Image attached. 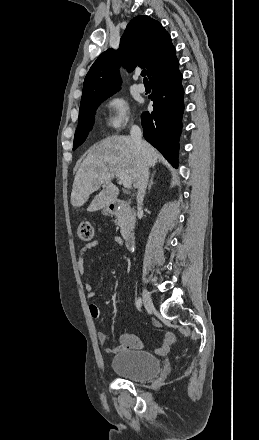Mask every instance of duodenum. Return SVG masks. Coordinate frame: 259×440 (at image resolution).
Returning <instances> with one entry per match:
<instances>
[{"instance_id": "obj_1", "label": "duodenum", "mask_w": 259, "mask_h": 440, "mask_svg": "<svg viewBox=\"0 0 259 440\" xmlns=\"http://www.w3.org/2000/svg\"><path fill=\"white\" fill-rule=\"evenodd\" d=\"M123 205H125V202L120 200V199H115L113 201H111L108 205V211L111 214H115L120 207H122ZM124 242L125 245L128 249H131L134 245V235L131 232H126L124 235Z\"/></svg>"}]
</instances>
